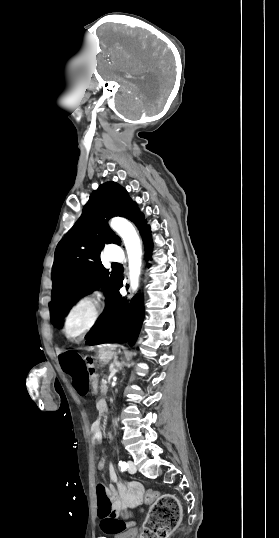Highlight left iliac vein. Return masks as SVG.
<instances>
[{
  "mask_svg": "<svg viewBox=\"0 0 279 538\" xmlns=\"http://www.w3.org/2000/svg\"><path fill=\"white\" fill-rule=\"evenodd\" d=\"M128 471L131 474L136 473V467H135V464L132 461H128Z\"/></svg>",
  "mask_w": 279,
  "mask_h": 538,
  "instance_id": "1",
  "label": "left iliac vein"
}]
</instances>
